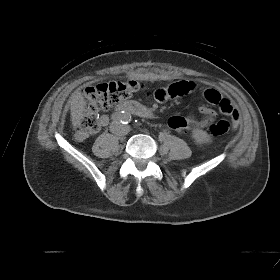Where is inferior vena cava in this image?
Wrapping results in <instances>:
<instances>
[{"label":"inferior vena cava","instance_id":"1","mask_svg":"<svg viewBox=\"0 0 280 280\" xmlns=\"http://www.w3.org/2000/svg\"><path fill=\"white\" fill-rule=\"evenodd\" d=\"M110 131L113 134L122 136V135H126L129 130L126 128V126L120 124V123H116V122H112V124L110 125Z\"/></svg>","mask_w":280,"mask_h":280}]
</instances>
